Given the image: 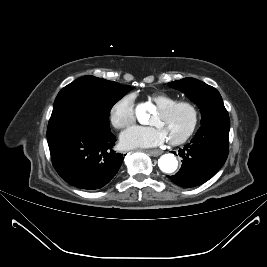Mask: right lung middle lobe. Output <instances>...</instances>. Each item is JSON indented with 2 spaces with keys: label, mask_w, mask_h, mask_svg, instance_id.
Wrapping results in <instances>:
<instances>
[{
  "label": "right lung middle lobe",
  "mask_w": 267,
  "mask_h": 267,
  "mask_svg": "<svg viewBox=\"0 0 267 267\" xmlns=\"http://www.w3.org/2000/svg\"><path fill=\"white\" fill-rule=\"evenodd\" d=\"M131 89L130 86L91 75L81 77L57 95L48 127L77 119L110 128L111 108Z\"/></svg>",
  "instance_id": "right-lung-middle-lobe-1"
}]
</instances>
